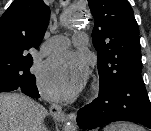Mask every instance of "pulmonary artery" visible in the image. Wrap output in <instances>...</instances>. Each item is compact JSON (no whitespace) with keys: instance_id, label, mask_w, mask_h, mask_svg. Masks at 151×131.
<instances>
[{"instance_id":"e3ab8cb5","label":"pulmonary artery","mask_w":151,"mask_h":131,"mask_svg":"<svg viewBox=\"0 0 151 131\" xmlns=\"http://www.w3.org/2000/svg\"><path fill=\"white\" fill-rule=\"evenodd\" d=\"M72 43L79 48H83L87 44V36L86 34L79 32L74 34L72 38ZM68 45V41L64 37H56L45 44L42 51L44 53H48L51 51H55L58 49H62Z\"/></svg>"}]
</instances>
